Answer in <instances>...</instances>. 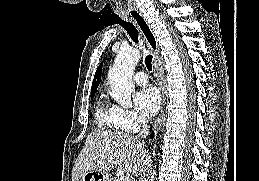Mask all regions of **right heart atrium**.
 <instances>
[{
	"mask_svg": "<svg viewBox=\"0 0 259 181\" xmlns=\"http://www.w3.org/2000/svg\"><path fill=\"white\" fill-rule=\"evenodd\" d=\"M111 111L115 123L123 130L135 132L146 123V118L135 110L112 105Z\"/></svg>",
	"mask_w": 259,
	"mask_h": 181,
	"instance_id": "d8ad5b80",
	"label": "right heart atrium"
}]
</instances>
